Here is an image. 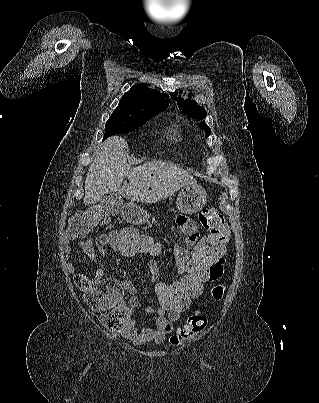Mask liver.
Here are the masks:
<instances>
[{
    "label": "liver",
    "instance_id": "liver-1",
    "mask_svg": "<svg viewBox=\"0 0 319 403\" xmlns=\"http://www.w3.org/2000/svg\"><path fill=\"white\" fill-rule=\"evenodd\" d=\"M127 148L119 136L100 145L86 175L84 205L95 204L111 192L133 202L156 203L186 185L196 184L192 175L172 163L151 161L132 167L127 162ZM126 176L129 183L122 186Z\"/></svg>",
    "mask_w": 319,
    "mask_h": 403
}]
</instances>
